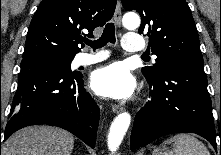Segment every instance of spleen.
I'll use <instances>...</instances> for the list:
<instances>
[{"label": "spleen", "instance_id": "1", "mask_svg": "<svg viewBox=\"0 0 221 155\" xmlns=\"http://www.w3.org/2000/svg\"><path fill=\"white\" fill-rule=\"evenodd\" d=\"M164 144H172L173 147L157 155H210L206 146L191 134H177L164 141Z\"/></svg>", "mask_w": 221, "mask_h": 155}]
</instances>
